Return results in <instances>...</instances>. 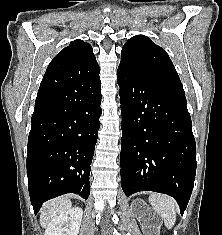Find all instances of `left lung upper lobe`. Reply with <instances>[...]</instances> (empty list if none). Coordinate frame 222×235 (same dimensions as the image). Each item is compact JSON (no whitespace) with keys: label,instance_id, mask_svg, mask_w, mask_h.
<instances>
[{"label":"left lung upper lobe","instance_id":"obj_1","mask_svg":"<svg viewBox=\"0 0 222 235\" xmlns=\"http://www.w3.org/2000/svg\"><path fill=\"white\" fill-rule=\"evenodd\" d=\"M119 66L184 93L179 76L166 51L144 35L134 36L124 44Z\"/></svg>","mask_w":222,"mask_h":235}]
</instances>
